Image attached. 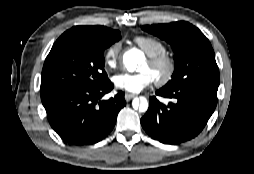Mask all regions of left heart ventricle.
<instances>
[{
    "label": "left heart ventricle",
    "mask_w": 254,
    "mask_h": 174,
    "mask_svg": "<svg viewBox=\"0 0 254 174\" xmlns=\"http://www.w3.org/2000/svg\"><path fill=\"white\" fill-rule=\"evenodd\" d=\"M141 70L149 72L154 79L162 76L164 73L163 67L153 68L148 64L147 61L142 65Z\"/></svg>",
    "instance_id": "b2bd125f"
}]
</instances>
